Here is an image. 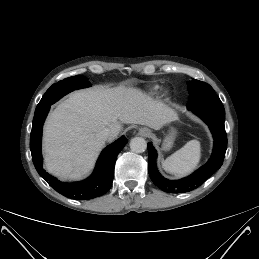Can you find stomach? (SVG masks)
<instances>
[{"instance_id":"0dacf381","label":"stomach","mask_w":259,"mask_h":259,"mask_svg":"<svg viewBox=\"0 0 259 259\" xmlns=\"http://www.w3.org/2000/svg\"><path fill=\"white\" fill-rule=\"evenodd\" d=\"M175 136H176V131L173 128H171L169 134L163 140L162 150L168 151L171 149L174 143Z\"/></svg>"}]
</instances>
